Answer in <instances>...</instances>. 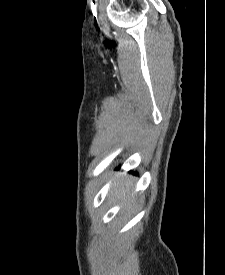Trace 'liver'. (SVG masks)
I'll list each match as a JSON object with an SVG mask.
<instances>
[{
    "mask_svg": "<svg viewBox=\"0 0 225 275\" xmlns=\"http://www.w3.org/2000/svg\"><path fill=\"white\" fill-rule=\"evenodd\" d=\"M132 185L133 184L131 179L125 177L124 179L120 180L111 190V197L116 201L123 200L130 192Z\"/></svg>",
    "mask_w": 225,
    "mask_h": 275,
    "instance_id": "1",
    "label": "liver"
}]
</instances>
